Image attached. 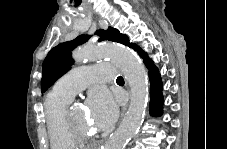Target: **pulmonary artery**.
I'll list each match as a JSON object with an SVG mask.
<instances>
[{
  "instance_id": "1",
  "label": "pulmonary artery",
  "mask_w": 227,
  "mask_h": 149,
  "mask_svg": "<svg viewBox=\"0 0 227 149\" xmlns=\"http://www.w3.org/2000/svg\"><path fill=\"white\" fill-rule=\"evenodd\" d=\"M115 67L110 63H98L93 66H79L60 78L54 89L69 97L85 89L90 83L110 82L114 79Z\"/></svg>"
}]
</instances>
